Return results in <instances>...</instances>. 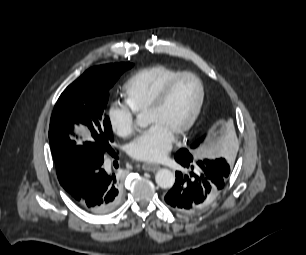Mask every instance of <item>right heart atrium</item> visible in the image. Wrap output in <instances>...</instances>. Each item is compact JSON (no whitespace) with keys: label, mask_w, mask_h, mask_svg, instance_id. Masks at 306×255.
<instances>
[{"label":"right heart atrium","mask_w":306,"mask_h":255,"mask_svg":"<svg viewBox=\"0 0 306 255\" xmlns=\"http://www.w3.org/2000/svg\"><path fill=\"white\" fill-rule=\"evenodd\" d=\"M107 117L112 131L120 137H128L136 128V112L127 104L113 102L108 110Z\"/></svg>","instance_id":"right-heart-atrium-1"}]
</instances>
